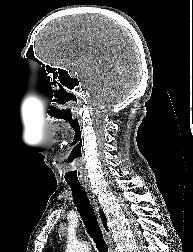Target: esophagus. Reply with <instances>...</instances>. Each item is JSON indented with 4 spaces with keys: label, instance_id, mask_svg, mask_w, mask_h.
I'll return each mask as SVG.
<instances>
[{
    "label": "esophagus",
    "instance_id": "1",
    "mask_svg": "<svg viewBox=\"0 0 193 252\" xmlns=\"http://www.w3.org/2000/svg\"><path fill=\"white\" fill-rule=\"evenodd\" d=\"M84 189L87 193V196L89 198V200L91 201L97 215H98V219H99V222H100V225H101V228H102V231H103V234H104V237H105V241L107 243V246H108V249H109V252H112V245H113V242H112V237L110 235L109 232H107L105 230V228L103 227L102 223H101V219L99 217V207H98V202H97V199L95 197V194L91 188V186L89 184H84Z\"/></svg>",
    "mask_w": 193,
    "mask_h": 252
}]
</instances>
